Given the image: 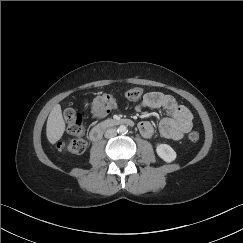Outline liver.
I'll return each mask as SVG.
<instances>
[{
	"mask_svg": "<svg viewBox=\"0 0 243 243\" xmlns=\"http://www.w3.org/2000/svg\"><path fill=\"white\" fill-rule=\"evenodd\" d=\"M65 131V122L62 117V110L59 104H56L47 119L46 136L51 144H55L61 139Z\"/></svg>",
	"mask_w": 243,
	"mask_h": 243,
	"instance_id": "liver-1",
	"label": "liver"
}]
</instances>
